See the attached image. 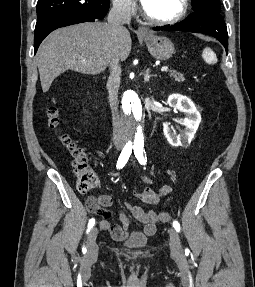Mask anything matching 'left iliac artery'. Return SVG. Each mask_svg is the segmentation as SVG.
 <instances>
[{"mask_svg":"<svg viewBox=\"0 0 255 287\" xmlns=\"http://www.w3.org/2000/svg\"><path fill=\"white\" fill-rule=\"evenodd\" d=\"M134 154L141 165L146 164V153L142 147H134ZM173 227L176 229V231H180V224L177 221L173 222Z\"/></svg>","mask_w":255,"mask_h":287,"instance_id":"44dca946","label":"left iliac artery"}]
</instances>
